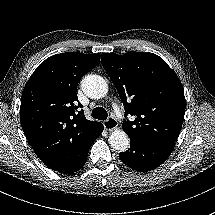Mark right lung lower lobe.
<instances>
[{
	"label": "right lung lower lobe",
	"instance_id": "obj_1",
	"mask_svg": "<svg viewBox=\"0 0 215 215\" xmlns=\"http://www.w3.org/2000/svg\"><path fill=\"white\" fill-rule=\"evenodd\" d=\"M103 128V125L100 122H97L96 125L88 130L86 136L82 140H80V148L78 149V152L80 154L75 159V161L63 165L55 164L48 167L53 169L54 171H58L64 174L78 171L85 164L89 149L95 139L102 133Z\"/></svg>",
	"mask_w": 215,
	"mask_h": 215
}]
</instances>
